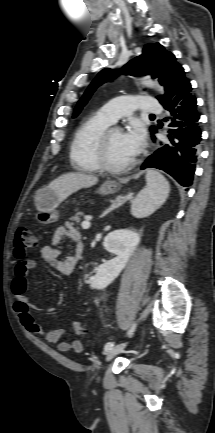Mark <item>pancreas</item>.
<instances>
[{
    "label": "pancreas",
    "instance_id": "cf45deb5",
    "mask_svg": "<svg viewBox=\"0 0 215 433\" xmlns=\"http://www.w3.org/2000/svg\"><path fill=\"white\" fill-rule=\"evenodd\" d=\"M81 215H82V213L78 212L77 214H75L74 216H72L70 218V220L73 221L75 224H79L80 221H81Z\"/></svg>",
    "mask_w": 215,
    "mask_h": 433
}]
</instances>
